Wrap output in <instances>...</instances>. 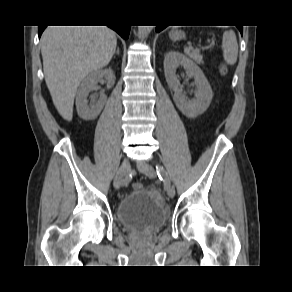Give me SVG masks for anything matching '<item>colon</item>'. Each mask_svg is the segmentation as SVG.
Listing matches in <instances>:
<instances>
[{"label": "colon", "instance_id": "1", "mask_svg": "<svg viewBox=\"0 0 292 292\" xmlns=\"http://www.w3.org/2000/svg\"><path fill=\"white\" fill-rule=\"evenodd\" d=\"M223 72H224V69H223ZM132 188H133L134 190H139V189L142 188V184L139 183V182H135V183L132 184Z\"/></svg>", "mask_w": 292, "mask_h": 292}]
</instances>
